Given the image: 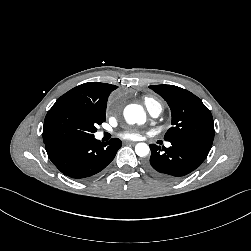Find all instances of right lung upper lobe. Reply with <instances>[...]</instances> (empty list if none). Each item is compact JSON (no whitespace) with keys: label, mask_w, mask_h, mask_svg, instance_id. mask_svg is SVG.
Wrapping results in <instances>:
<instances>
[{"label":"right lung upper lobe","mask_w":251,"mask_h":251,"mask_svg":"<svg viewBox=\"0 0 251 251\" xmlns=\"http://www.w3.org/2000/svg\"><path fill=\"white\" fill-rule=\"evenodd\" d=\"M116 88L117 86L107 83L88 82L71 89L62 95L57 102L73 101L106 110L108 97Z\"/></svg>","instance_id":"obj_1"}]
</instances>
